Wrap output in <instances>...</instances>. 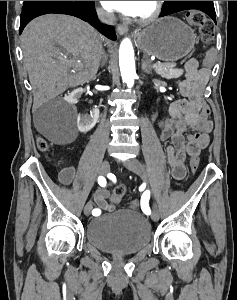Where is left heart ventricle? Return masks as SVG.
I'll use <instances>...</instances> for the list:
<instances>
[{
    "label": "left heart ventricle",
    "mask_w": 237,
    "mask_h": 300,
    "mask_svg": "<svg viewBox=\"0 0 237 300\" xmlns=\"http://www.w3.org/2000/svg\"><path fill=\"white\" fill-rule=\"evenodd\" d=\"M151 10V1H143L140 8L134 15L135 17L144 16Z\"/></svg>",
    "instance_id": "left-heart-ventricle-1"
}]
</instances>
